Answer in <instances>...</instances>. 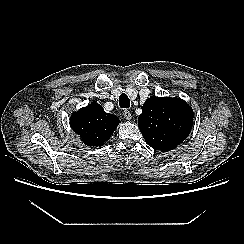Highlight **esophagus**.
<instances>
[{"label":"esophagus","mask_w":244,"mask_h":244,"mask_svg":"<svg viewBox=\"0 0 244 244\" xmlns=\"http://www.w3.org/2000/svg\"><path fill=\"white\" fill-rule=\"evenodd\" d=\"M123 116H124V118H125L126 120H131V118H132V115H131V113H130L129 110H124V111H123Z\"/></svg>","instance_id":"esophagus-1"}]
</instances>
